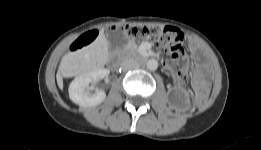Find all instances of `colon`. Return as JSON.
I'll list each match as a JSON object with an SVG mask.
<instances>
[{
  "mask_svg": "<svg viewBox=\"0 0 261 150\" xmlns=\"http://www.w3.org/2000/svg\"><path fill=\"white\" fill-rule=\"evenodd\" d=\"M127 34L136 41L152 40L169 52L166 68L179 83L187 80L189 58L184 48V34L176 27H150L129 24L124 27ZM98 30H90L81 35L72 45L74 50L81 49L98 37Z\"/></svg>",
  "mask_w": 261,
  "mask_h": 150,
  "instance_id": "obj_1",
  "label": "colon"
}]
</instances>
